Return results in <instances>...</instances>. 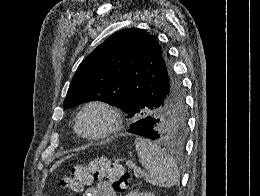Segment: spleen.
<instances>
[{"label": "spleen", "mask_w": 260, "mask_h": 196, "mask_svg": "<svg viewBox=\"0 0 260 196\" xmlns=\"http://www.w3.org/2000/svg\"><path fill=\"white\" fill-rule=\"evenodd\" d=\"M135 150L140 164L147 170L144 174L145 182H149L153 186H161V188H171L177 184L178 166L163 148L152 144L145 138H136Z\"/></svg>", "instance_id": "3e777b00"}]
</instances>
